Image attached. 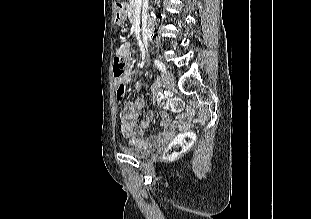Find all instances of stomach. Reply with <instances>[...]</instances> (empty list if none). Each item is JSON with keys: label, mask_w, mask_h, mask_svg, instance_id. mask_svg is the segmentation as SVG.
Segmentation results:
<instances>
[{"label": "stomach", "mask_w": 311, "mask_h": 219, "mask_svg": "<svg viewBox=\"0 0 311 219\" xmlns=\"http://www.w3.org/2000/svg\"><path fill=\"white\" fill-rule=\"evenodd\" d=\"M127 16L124 13H119L116 15L117 23L124 24L126 22Z\"/></svg>", "instance_id": "obj_1"}]
</instances>
